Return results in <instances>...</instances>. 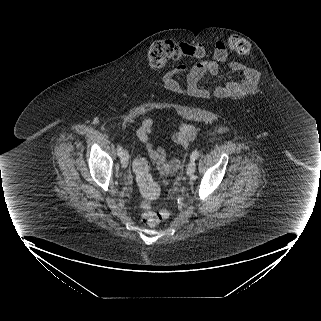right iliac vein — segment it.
I'll use <instances>...</instances> for the list:
<instances>
[{"mask_svg":"<svg viewBox=\"0 0 321 321\" xmlns=\"http://www.w3.org/2000/svg\"><path fill=\"white\" fill-rule=\"evenodd\" d=\"M128 161H129V154L126 150L123 151V154L121 156V165L123 168H126L128 165Z\"/></svg>","mask_w":321,"mask_h":321,"instance_id":"obj_1","label":"right iliac vein"}]
</instances>
